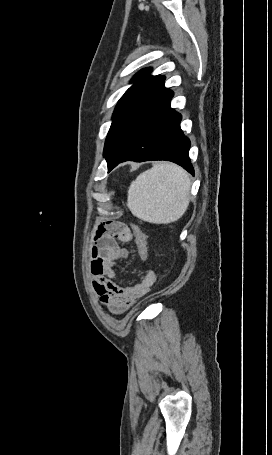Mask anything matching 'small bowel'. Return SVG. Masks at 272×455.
<instances>
[{
	"mask_svg": "<svg viewBox=\"0 0 272 455\" xmlns=\"http://www.w3.org/2000/svg\"><path fill=\"white\" fill-rule=\"evenodd\" d=\"M95 240L96 245L92 249L91 260L95 290L100 301L111 314H123L150 291L157 280V274L150 269L139 282L127 286H122L115 281L116 261L127 255L126 249L120 247L117 240L123 243L132 240V234L125 225L100 224Z\"/></svg>",
	"mask_w": 272,
	"mask_h": 455,
	"instance_id": "1",
	"label": "small bowel"
}]
</instances>
